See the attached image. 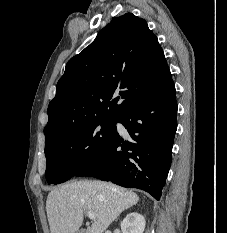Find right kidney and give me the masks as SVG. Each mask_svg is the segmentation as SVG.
<instances>
[{
  "label": "right kidney",
  "instance_id": "1",
  "mask_svg": "<svg viewBox=\"0 0 227 233\" xmlns=\"http://www.w3.org/2000/svg\"><path fill=\"white\" fill-rule=\"evenodd\" d=\"M145 225L144 216L137 212L128 214L120 224L122 233H143Z\"/></svg>",
  "mask_w": 227,
  "mask_h": 233
}]
</instances>
